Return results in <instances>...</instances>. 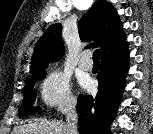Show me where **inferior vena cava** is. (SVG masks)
Here are the masks:
<instances>
[{"mask_svg": "<svg viewBox=\"0 0 153 134\" xmlns=\"http://www.w3.org/2000/svg\"><path fill=\"white\" fill-rule=\"evenodd\" d=\"M75 106H76L75 102L70 103L66 111L67 134H77L78 115L76 113Z\"/></svg>", "mask_w": 153, "mask_h": 134, "instance_id": "602c4592", "label": "inferior vena cava"}]
</instances>
